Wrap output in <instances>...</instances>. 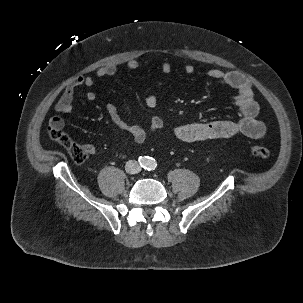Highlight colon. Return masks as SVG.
<instances>
[{
  "label": "colon",
  "instance_id": "obj_1",
  "mask_svg": "<svg viewBox=\"0 0 303 303\" xmlns=\"http://www.w3.org/2000/svg\"><path fill=\"white\" fill-rule=\"evenodd\" d=\"M49 137L62 146L69 154L75 163H82L87 158V151L79 144L74 142L60 127H49ZM250 152L254 157L265 159L270 155L268 148L261 145H253L250 147Z\"/></svg>",
  "mask_w": 303,
  "mask_h": 303
}]
</instances>
